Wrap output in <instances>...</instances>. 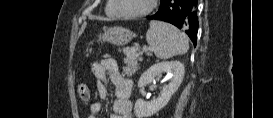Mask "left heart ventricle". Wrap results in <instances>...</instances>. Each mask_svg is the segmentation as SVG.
I'll return each mask as SVG.
<instances>
[{"label": "left heart ventricle", "mask_w": 273, "mask_h": 118, "mask_svg": "<svg viewBox=\"0 0 273 118\" xmlns=\"http://www.w3.org/2000/svg\"><path fill=\"white\" fill-rule=\"evenodd\" d=\"M122 9L127 13H138L145 10L150 0H120Z\"/></svg>", "instance_id": "left-heart-ventricle-1"}]
</instances>
